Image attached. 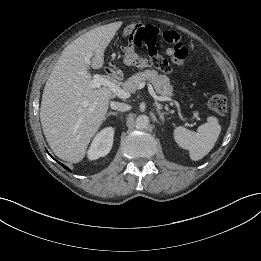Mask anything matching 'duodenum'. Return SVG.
I'll use <instances>...</instances> for the list:
<instances>
[{
  "instance_id": "duodenum-1",
  "label": "duodenum",
  "mask_w": 261,
  "mask_h": 261,
  "mask_svg": "<svg viewBox=\"0 0 261 261\" xmlns=\"http://www.w3.org/2000/svg\"><path fill=\"white\" fill-rule=\"evenodd\" d=\"M109 75H114V73H112L111 71L108 72Z\"/></svg>"
}]
</instances>
